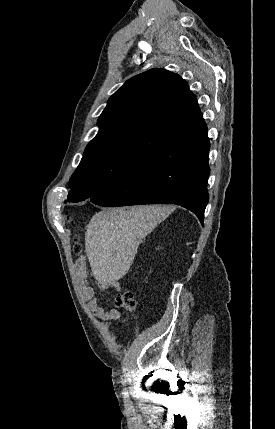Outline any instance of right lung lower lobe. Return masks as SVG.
<instances>
[{"label": "right lung lower lobe", "mask_w": 275, "mask_h": 429, "mask_svg": "<svg viewBox=\"0 0 275 429\" xmlns=\"http://www.w3.org/2000/svg\"><path fill=\"white\" fill-rule=\"evenodd\" d=\"M209 149L207 128L183 137L149 156L113 188L90 200L100 206L177 204L203 223L209 199Z\"/></svg>", "instance_id": "1"}]
</instances>
